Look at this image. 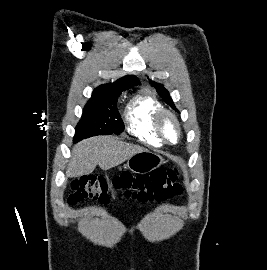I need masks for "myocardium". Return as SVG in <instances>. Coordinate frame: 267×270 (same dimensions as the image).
Segmentation results:
<instances>
[{"label": "myocardium", "instance_id": "1", "mask_svg": "<svg viewBox=\"0 0 267 270\" xmlns=\"http://www.w3.org/2000/svg\"><path fill=\"white\" fill-rule=\"evenodd\" d=\"M166 117L170 118L176 126L177 138L175 141L169 140L164 132L163 121ZM153 123H154L155 132L163 143L173 145V144H176L180 140L181 135H182L181 124L173 111L166 108L159 109L154 115Z\"/></svg>", "mask_w": 267, "mask_h": 270}]
</instances>
